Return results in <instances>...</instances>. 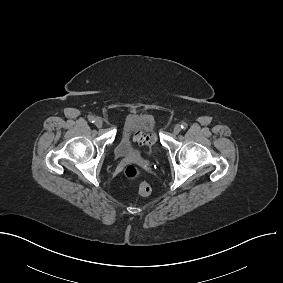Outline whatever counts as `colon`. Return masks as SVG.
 I'll use <instances>...</instances> for the list:
<instances>
[{"mask_svg":"<svg viewBox=\"0 0 283 283\" xmlns=\"http://www.w3.org/2000/svg\"><path fill=\"white\" fill-rule=\"evenodd\" d=\"M136 140L142 145H148L150 143V137L144 133H138L136 135ZM125 176L130 180H139L141 177V170L136 165H129L125 169ZM137 189L142 196H147L151 192L149 184L145 181H140Z\"/></svg>","mask_w":283,"mask_h":283,"instance_id":"1","label":"colon"}]
</instances>
